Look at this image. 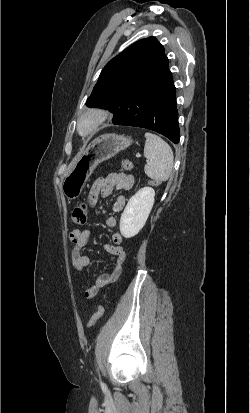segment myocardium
<instances>
[{
	"instance_id": "obj_1",
	"label": "myocardium",
	"mask_w": 250,
	"mask_h": 413,
	"mask_svg": "<svg viewBox=\"0 0 250 413\" xmlns=\"http://www.w3.org/2000/svg\"><path fill=\"white\" fill-rule=\"evenodd\" d=\"M112 117V113L104 107H92L86 109L77 119V132L83 137L93 135L99 128ZM89 120L90 126L86 131L82 130L84 121Z\"/></svg>"
}]
</instances>
